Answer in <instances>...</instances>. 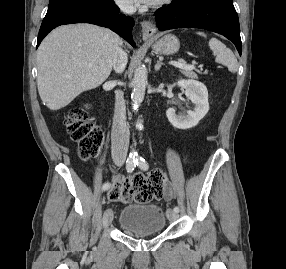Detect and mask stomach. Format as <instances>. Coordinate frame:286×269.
Instances as JSON below:
<instances>
[{
    "mask_svg": "<svg viewBox=\"0 0 286 269\" xmlns=\"http://www.w3.org/2000/svg\"><path fill=\"white\" fill-rule=\"evenodd\" d=\"M152 48L157 53L173 55L179 50L180 42L176 36L168 34L154 41Z\"/></svg>",
    "mask_w": 286,
    "mask_h": 269,
    "instance_id": "stomach-1",
    "label": "stomach"
}]
</instances>
